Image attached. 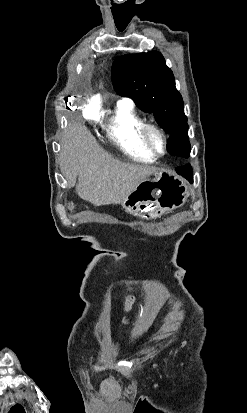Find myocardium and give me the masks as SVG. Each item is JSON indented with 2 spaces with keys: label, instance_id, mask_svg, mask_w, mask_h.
Listing matches in <instances>:
<instances>
[{
  "label": "myocardium",
  "instance_id": "1",
  "mask_svg": "<svg viewBox=\"0 0 247 413\" xmlns=\"http://www.w3.org/2000/svg\"><path fill=\"white\" fill-rule=\"evenodd\" d=\"M148 131H155L160 135L163 141V149L161 152L156 151L153 147H151L146 139V133ZM137 138L138 142L141 145V147L150 155L154 156L155 158L162 157L166 154L167 152V147H168V140L165 132L159 128L158 126L150 123H144L141 125V127L138 130L137 133Z\"/></svg>",
  "mask_w": 247,
  "mask_h": 413
}]
</instances>
